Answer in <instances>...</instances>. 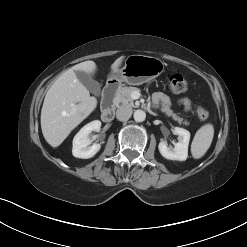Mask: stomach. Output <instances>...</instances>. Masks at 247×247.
<instances>
[{"label": "stomach", "instance_id": "obj_1", "mask_svg": "<svg viewBox=\"0 0 247 247\" xmlns=\"http://www.w3.org/2000/svg\"><path fill=\"white\" fill-rule=\"evenodd\" d=\"M165 63L159 58L140 54L130 55L121 69L112 71L110 82H126L129 85H141L158 77L164 71Z\"/></svg>", "mask_w": 247, "mask_h": 247}]
</instances>
